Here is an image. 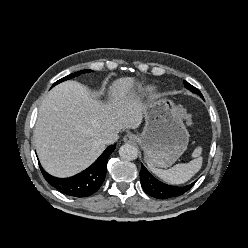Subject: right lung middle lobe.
<instances>
[{"label":"right lung middle lobe","mask_w":248,"mask_h":248,"mask_svg":"<svg viewBox=\"0 0 248 248\" xmlns=\"http://www.w3.org/2000/svg\"><path fill=\"white\" fill-rule=\"evenodd\" d=\"M91 70H82V71H79V72H76V73H73V74H70V75H68V76H66V77H64V78H62V79H60V80H58L56 83H54L53 84V86H55L56 84H58V83H60V82H63V81H65V80H68V79H71V78H73V77H76V76H79V75H81V74H83V73H88V72H90ZM52 86V87H53Z\"/></svg>","instance_id":"1"}]
</instances>
